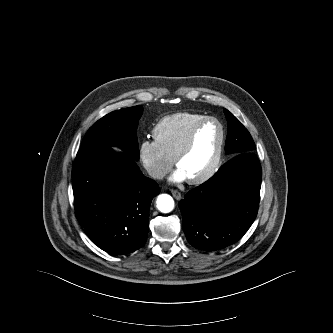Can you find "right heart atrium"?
Masks as SVG:
<instances>
[{"mask_svg": "<svg viewBox=\"0 0 333 333\" xmlns=\"http://www.w3.org/2000/svg\"><path fill=\"white\" fill-rule=\"evenodd\" d=\"M139 158L148 175L160 180L170 171L173 161L168 158L154 141L144 140L139 145Z\"/></svg>", "mask_w": 333, "mask_h": 333, "instance_id": "d8ad5b80", "label": "right heart atrium"}]
</instances>
